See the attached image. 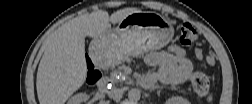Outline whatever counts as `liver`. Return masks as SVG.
<instances>
[{
  "label": "liver",
  "mask_w": 252,
  "mask_h": 104,
  "mask_svg": "<svg viewBox=\"0 0 252 104\" xmlns=\"http://www.w3.org/2000/svg\"><path fill=\"white\" fill-rule=\"evenodd\" d=\"M137 8H124L111 14L96 10L60 26L48 41L40 60L36 89L41 104H63L84 83L87 73L85 37H98Z\"/></svg>",
  "instance_id": "obj_1"
}]
</instances>
